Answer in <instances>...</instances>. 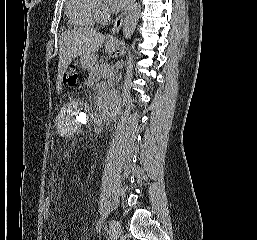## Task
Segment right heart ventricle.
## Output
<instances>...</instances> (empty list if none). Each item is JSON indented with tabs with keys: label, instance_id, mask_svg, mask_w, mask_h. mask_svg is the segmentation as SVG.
<instances>
[{
	"label": "right heart ventricle",
	"instance_id": "e07e8e85",
	"mask_svg": "<svg viewBox=\"0 0 257 240\" xmlns=\"http://www.w3.org/2000/svg\"><path fill=\"white\" fill-rule=\"evenodd\" d=\"M97 0H66L68 21L76 27H93L100 21Z\"/></svg>",
	"mask_w": 257,
	"mask_h": 240
}]
</instances>
